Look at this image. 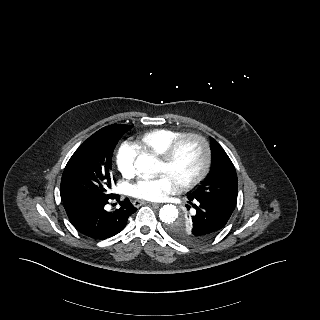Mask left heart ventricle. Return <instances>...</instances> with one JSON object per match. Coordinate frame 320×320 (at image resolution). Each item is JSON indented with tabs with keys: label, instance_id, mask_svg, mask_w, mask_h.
<instances>
[{
	"label": "left heart ventricle",
	"instance_id": "obj_1",
	"mask_svg": "<svg viewBox=\"0 0 320 320\" xmlns=\"http://www.w3.org/2000/svg\"><path fill=\"white\" fill-rule=\"evenodd\" d=\"M202 163V150L196 140L185 141L174 161L166 165L160 161L159 173L168 176L176 185L193 177L200 169Z\"/></svg>",
	"mask_w": 320,
	"mask_h": 320
}]
</instances>
